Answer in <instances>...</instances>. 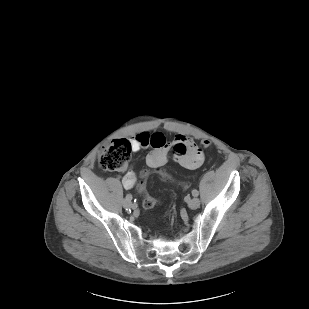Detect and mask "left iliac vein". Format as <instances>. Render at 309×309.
Wrapping results in <instances>:
<instances>
[{
    "mask_svg": "<svg viewBox=\"0 0 309 309\" xmlns=\"http://www.w3.org/2000/svg\"><path fill=\"white\" fill-rule=\"evenodd\" d=\"M201 204V201L199 198H193L191 200H189L188 202V207L190 209H197Z\"/></svg>",
    "mask_w": 309,
    "mask_h": 309,
    "instance_id": "obj_1",
    "label": "left iliac vein"
}]
</instances>
